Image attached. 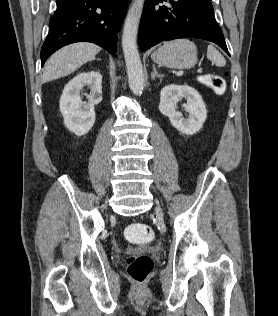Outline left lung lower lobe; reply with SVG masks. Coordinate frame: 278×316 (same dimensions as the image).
I'll list each match as a JSON object with an SVG mask.
<instances>
[{
    "label": "left lung lower lobe",
    "instance_id": "0a47b994",
    "mask_svg": "<svg viewBox=\"0 0 278 316\" xmlns=\"http://www.w3.org/2000/svg\"><path fill=\"white\" fill-rule=\"evenodd\" d=\"M146 0L139 28V47L146 51L166 40L198 38L219 45L228 55L212 4L204 0Z\"/></svg>",
    "mask_w": 278,
    "mask_h": 316
}]
</instances>
